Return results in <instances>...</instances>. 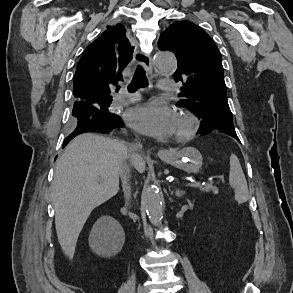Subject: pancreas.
Listing matches in <instances>:
<instances>
[{
  "mask_svg": "<svg viewBox=\"0 0 293 293\" xmlns=\"http://www.w3.org/2000/svg\"><path fill=\"white\" fill-rule=\"evenodd\" d=\"M201 192H213L214 194H218V189L213 185L212 182L206 183L203 186H200Z\"/></svg>",
  "mask_w": 293,
  "mask_h": 293,
  "instance_id": "pancreas-1",
  "label": "pancreas"
}]
</instances>
